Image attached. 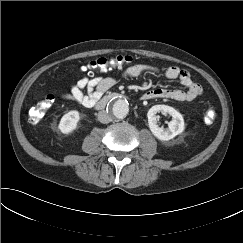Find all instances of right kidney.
Segmentation results:
<instances>
[{
	"instance_id": "obj_1",
	"label": "right kidney",
	"mask_w": 243,
	"mask_h": 243,
	"mask_svg": "<svg viewBox=\"0 0 243 243\" xmlns=\"http://www.w3.org/2000/svg\"><path fill=\"white\" fill-rule=\"evenodd\" d=\"M79 119V112L76 110H71L62 116L58 129L60 132L68 134L76 129Z\"/></svg>"
}]
</instances>
